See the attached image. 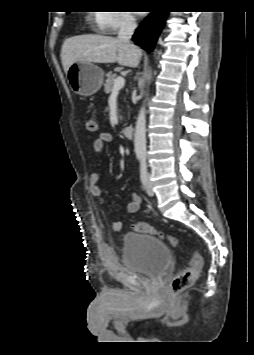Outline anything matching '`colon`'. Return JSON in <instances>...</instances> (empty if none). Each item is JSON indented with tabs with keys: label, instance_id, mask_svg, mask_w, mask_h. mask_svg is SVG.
<instances>
[{
	"label": "colon",
	"instance_id": "obj_1",
	"mask_svg": "<svg viewBox=\"0 0 254 355\" xmlns=\"http://www.w3.org/2000/svg\"><path fill=\"white\" fill-rule=\"evenodd\" d=\"M85 129L88 133L95 134L98 131L97 121L93 118L87 119L85 121ZM133 228L138 233L156 235L162 239H165L173 247H177L179 245V240L177 238L159 231L154 226L146 222H136L134 223ZM203 264V257L198 252L193 251L189 266L172 277L170 281L171 291L181 292L190 288L195 279L198 277Z\"/></svg>",
	"mask_w": 254,
	"mask_h": 355
}]
</instances>
